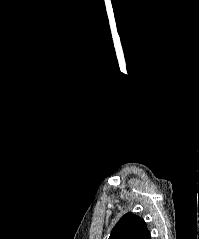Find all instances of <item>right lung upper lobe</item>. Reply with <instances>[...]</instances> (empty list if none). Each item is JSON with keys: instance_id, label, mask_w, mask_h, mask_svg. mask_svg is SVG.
Segmentation results:
<instances>
[{"instance_id": "cb5924a9", "label": "right lung upper lobe", "mask_w": 199, "mask_h": 239, "mask_svg": "<svg viewBox=\"0 0 199 239\" xmlns=\"http://www.w3.org/2000/svg\"><path fill=\"white\" fill-rule=\"evenodd\" d=\"M148 235L149 231L144 220L127 213L113 228L109 239H145Z\"/></svg>"}]
</instances>
